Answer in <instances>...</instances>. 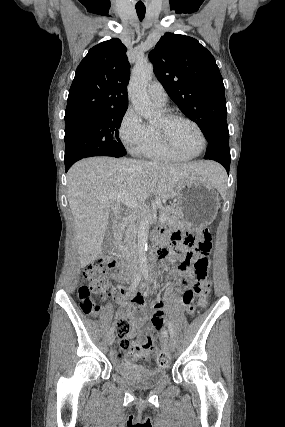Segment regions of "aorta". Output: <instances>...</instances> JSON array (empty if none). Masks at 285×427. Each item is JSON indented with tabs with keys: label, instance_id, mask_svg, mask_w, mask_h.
<instances>
[{
	"label": "aorta",
	"instance_id": "obj_1",
	"mask_svg": "<svg viewBox=\"0 0 285 427\" xmlns=\"http://www.w3.org/2000/svg\"><path fill=\"white\" fill-rule=\"evenodd\" d=\"M153 77V65L151 63H136L133 68L128 85V95L135 110L145 119H152L156 116L154 105L147 95L146 87ZM151 216L147 212L141 219L138 227V255L139 267H147V241Z\"/></svg>",
	"mask_w": 285,
	"mask_h": 427
}]
</instances>
